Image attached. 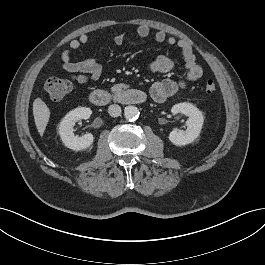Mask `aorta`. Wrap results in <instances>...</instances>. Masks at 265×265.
I'll use <instances>...</instances> for the list:
<instances>
[{
    "mask_svg": "<svg viewBox=\"0 0 265 265\" xmlns=\"http://www.w3.org/2000/svg\"><path fill=\"white\" fill-rule=\"evenodd\" d=\"M124 117L129 121L136 120L139 117L138 108L132 105L126 106L124 108Z\"/></svg>",
    "mask_w": 265,
    "mask_h": 265,
    "instance_id": "aorta-1",
    "label": "aorta"
}]
</instances>
